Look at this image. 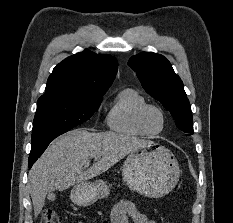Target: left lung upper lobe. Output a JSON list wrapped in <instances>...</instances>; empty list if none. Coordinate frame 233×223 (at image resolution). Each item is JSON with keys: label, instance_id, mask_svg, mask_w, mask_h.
I'll return each instance as SVG.
<instances>
[{"label": "left lung upper lobe", "instance_id": "obj_1", "mask_svg": "<svg viewBox=\"0 0 233 223\" xmlns=\"http://www.w3.org/2000/svg\"><path fill=\"white\" fill-rule=\"evenodd\" d=\"M128 65L137 73L145 89L175 118L176 126L193 134V117L183 83L170 62L162 55L142 52L130 58Z\"/></svg>", "mask_w": 233, "mask_h": 223}]
</instances>
